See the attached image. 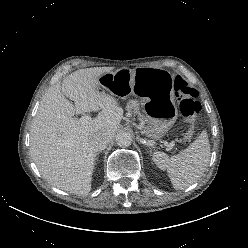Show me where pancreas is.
<instances>
[{
  "instance_id": "1",
  "label": "pancreas",
  "mask_w": 248,
  "mask_h": 248,
  "mask_svg": "<svg viewBox=\"0 0 248 248\" xmlns=\"http://www.w3.org/2000/svg\"><path fill=\"white\" fill-rule=\"evenodd\" d=\"M127 110L129 112H134L135 114H138L140 115V112H139V107H138V103L137 101L135 100H130L127 104ZM141 116V115H140Z\"/></svg>"
}]
</instances>
